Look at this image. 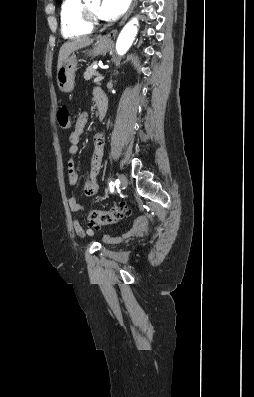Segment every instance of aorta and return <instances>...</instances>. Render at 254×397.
Wrapping results in <instances>:
<instances>
[{
    "label": "aorta",
    "instance_id": "1",
    "mask_svg": "<svg viewBox=\"0 0 254 397\" xmlns=\"http://www.w3.org/2000/svg\"><path fill=\"white\" fill-rule=\"evenodd\" d=\"M137 25V18H133L122 29L116 42V51L119 55L125 54L132 45L137 34Z\"/></svg>",
    "mask_w": 254,
    "mask_h": 397
}]
</instances>
